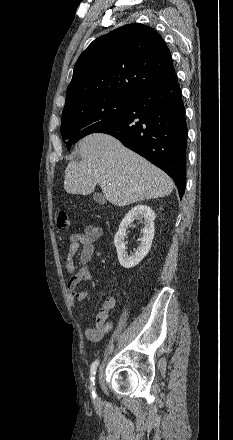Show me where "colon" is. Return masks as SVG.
<instances>
[{"instance_id": "colon-1", "label": "colon", "mask_w": 233, "mask_h": 440, "mask_svg": "<svg viewBox=\"0 0 233 440\" xmlns=\"http://www.w3.org/2000/svg\"><path fill=\"white\" fill-rule=\"evenodd\" d=\"M56 226L59 229H66L69 226V219L62 207H58L56 210Z\"/></svg>"}]
</instances>
